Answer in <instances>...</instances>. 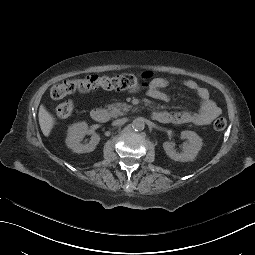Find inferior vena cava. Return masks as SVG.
Listing matches in <instances>:
<instances>
[{"label": "inferior vena cava", "mask_w": 255, "mask_h": 255, "mask_svg": "<svg viewBox=\"0 0 255 255\" xmlns=\"http://www.w3.org/2000/svg\"><path fill=\"white\" fill-rule=\"evenodd\" d=\"M122 123H123V120L122 119H118V120L113 121L112 125L118 126V125H121Z\"/></svg>", "instance_id": "inferior-vena-cava-1"}]
</instances>
